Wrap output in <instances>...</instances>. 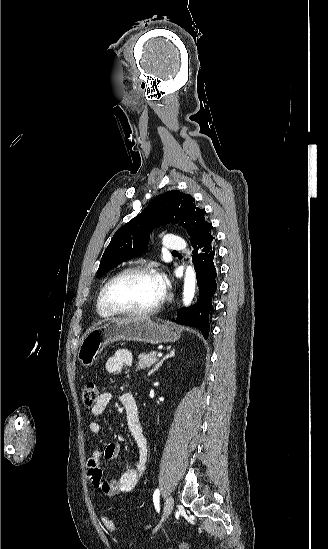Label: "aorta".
<instances>
[{
	"label": "aorta",
	"mask_w": 328,
	"mask_h": 549,
	"mask_svg": "<svg viewBox=\"0 0 328 549\" xmlns=\"http://www.w3.org/2000/svg\"><path fill=\"white\" fill-rule=\"evenodd\" d=\"M196 290V277L192 266H188L185 272L183 303L185 306L191 304Z\"/></svg>",
	"instance_id": "762f6f07"
}]
</instances>
